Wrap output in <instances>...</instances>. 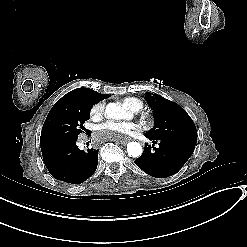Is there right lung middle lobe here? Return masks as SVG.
<instances>
[{
	"label": "right lung middle lobe",
	"mask_w": 247,
	"mask_h": 247,
	"mask_svg": "<svg viewBox=\"0 0 247 247\" xmlns=\"http://www.w3.org/2000/svg\"><path fill=\"white\" fill-rule=\"evenodd\" d=\"M92 104L83 95L67 93L51 108L41 131V148L76 141L84 132Z\"/></svg>",
	"instance_id": "obj_1"
}]
</instances>
